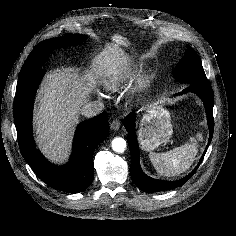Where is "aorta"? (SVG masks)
I'll use <instances>...</instances> for the list:
<instances>
[{
    "mask_svg": "<svg viewBox=\"0 0 236 236\" xmlns=\"http://www.w3.org/2000/svg\"><path fill=\"white\" fill-rule=\"evenodd\" d=\"M125 148H126V141L123 138L117 137L112 140V149L115 152L122 153L124 152Z\"/></svg>",
    "mask_w": 236,
    "mask_h": 236,
    "instance_id": "1",
    "label": "aorta"
}]
</instances>
